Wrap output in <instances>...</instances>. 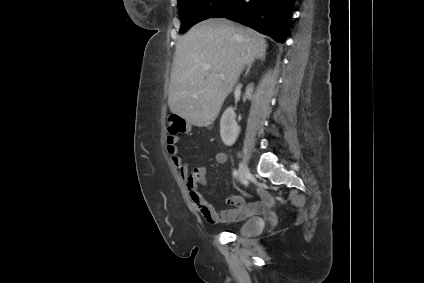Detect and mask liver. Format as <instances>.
Listing matches in <instances>:
<instances>
[{"label":"liver","mask_w":424,"mask_h":283,"mask_svg":"<svg viewBox=\"0 0 424 283\" xmlns=\"http://www.w3.org/2000/svg\"><path fill=\"white\" fill-rule=\"evenodd\" d=\"M266 47L261 34L227 19L193 26L176 44L168 96L171 112L197 127L210 124L244 66ZM206 64L211 69L205 70Z\"/></svg>","instance_id":"obj_1"}]
</instances>
